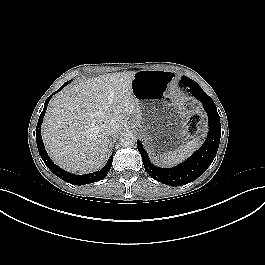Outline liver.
I'll list each match as a JSON object with an SVG mask.
<instances>
[{
    "mask_svg": "<svg viewBox=\"0 0 265 265\" xmlns=\"http://www.w3.org/2000/svg\"><path fill=\"white\" fill-rule=\"evenodd\" d=\"M135 73H112L88 79L68 87L50 101L42 137L57 165L80 174L104 165L109 141L101 132L102 124L113 121L117 133L130 117L140 115L131 87Z\"/></svg>",
    "mask_w": 265,
    "mask_h": 265,
    "instance_id": "liver-1",
    "label": "liver"
}]
</instances>
